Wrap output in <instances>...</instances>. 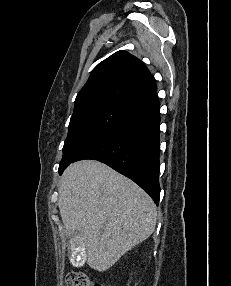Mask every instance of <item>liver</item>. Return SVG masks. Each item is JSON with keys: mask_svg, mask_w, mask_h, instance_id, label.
<instances>
[{"mask_svg": "<svg viewBox=\"0 0 231 286\" xmlns=\"http://www.w3.org/2000/svg\"><path fill=\"white\" fill-rule=\"evenodd\" d=\"M58 207L67 234L87 251L88 265L106 271L155 230L151 197L107 165L84 160L64 171Z\"/></svg>", "mask_w": 231, "mask_h": 286, "instance_id": "1", "label": "liver"}]
</instances>
